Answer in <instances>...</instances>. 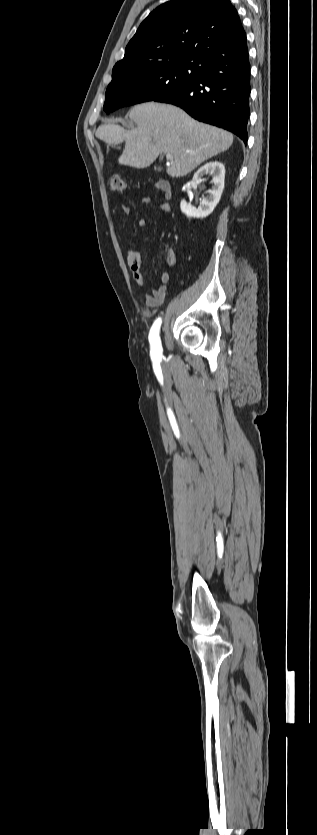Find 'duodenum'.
<instances>
[{"label": "duodenum", "mask_w": 317, "mask_h": 835, "mask_svg": "<svg viewBox=\"0 0 317 835\" xmlns=\"http://www.w3.org/2000/svg\"><path fill=\"white\" fill-rule=\"evenodd\" d=\"M163 185H164V186H163V187H164V189H165L166 191H168V192L171 194V187H170L169 183L164 182V184H163Z\"/></svg>", "instance_id": "duodenum-1"}]
</instances>
